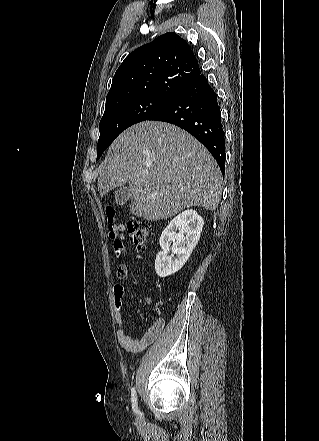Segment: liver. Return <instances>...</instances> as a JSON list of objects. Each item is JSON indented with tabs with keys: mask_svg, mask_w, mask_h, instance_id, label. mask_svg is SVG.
<instances>
[{
	"mask_svg": "<svg viewBox=\"0 0 319 441\" xmlns=\"http://www.w3.org/2000/svg\"><path fill=\"white\" fill-rule=\"evenodd\" d=\"M222 180L217 162L192 135L169 123L144 121L111 144L97 184L103 198L128 183L130 212L160 220L193 206L215 210Z\"/></svg>",
	"mask_w": 319,
	"mask_h": 441,
	"instance_id": "obj_1",
	"label": "liver"
}]
</instances>
